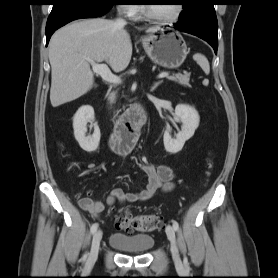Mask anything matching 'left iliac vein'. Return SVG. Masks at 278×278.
I'll return each mask as SVG.
<instances>
[{
	"label": "left iliac vein",
	"instance_id": "obj_1",
	"mask_svg": "<svg viewBox=\"0 0 278 278\" xmlns=\"http://www.w3.org/2000/svg\"><path fill=\"white\" fill-rule=\"evenodd\" d=\"M166 234L171 244V253L173 260L176 264H180L181 260L179 257L178 247L176 243L175 230L171 225L166 226Z\"/></svg>",
	"mask_w": 278,
	"mask_h": 278
}]
</instances>
